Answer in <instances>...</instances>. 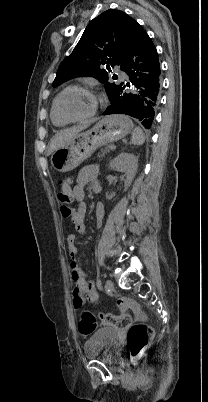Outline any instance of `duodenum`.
Returning <instances> with one entry per match:
<instances>
[{
	"label": "duodenum",
	"instance_id": "obj_1",
	"mask_svg": "<svg viewBox=\"0 0 208 402\" xmlns=\"http://www.w3.org/2000/svg\"><path fill=\"white\" fill-rule=\"evenodd\" d=\"M94 192H95V193H99V192H100V188H98V187L94 188Z\"/></svg>",
	"mask_w": 208,
	"mask_h": 402
}]
</instances>
